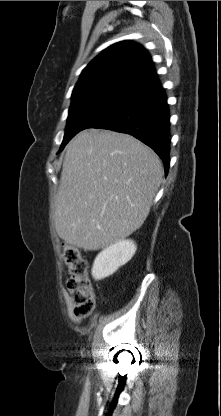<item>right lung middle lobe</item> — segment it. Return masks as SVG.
<instances>
[{
    "label": "right lung middle lobe",
    "mask_w": 221,
    "mask_h": 416,
    "mask_svg": "<svg viewBox=\"0 0 221 416\" xmlns=\"http://www.w3.org/2000/svg\"><path fill=\"white\" fill-rule=\"evenodd\" d=\"M126 96L125 93L100 92L72 99L60 151L76 133L101 122Z\"/></svg>",
    "instance_id": "obj_1"
}]
</instances>
